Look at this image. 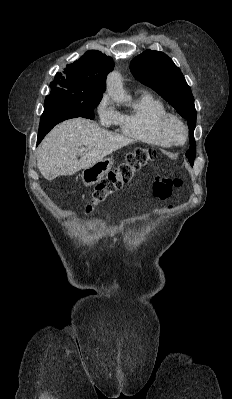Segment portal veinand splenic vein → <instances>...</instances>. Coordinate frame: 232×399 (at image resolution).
I'll return each mask as SVG.
<instances>
[{"label": "portal vein and splenic vein", "instance_id": "1", "mask_svg": "<svg viewBox=\"0 0 232 399\" xmlns=\"http://www.w3.org/2000/svg\"><path fill=\"white\" fill-rule=\"evenodd\" d=\"M79 152H85V148H81V150H79Z\"/></svg>", "mask_w": 232, "mask_h": 399}]
</instances>
